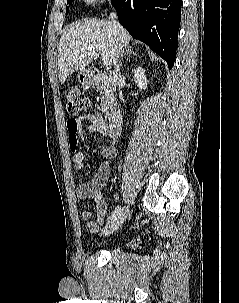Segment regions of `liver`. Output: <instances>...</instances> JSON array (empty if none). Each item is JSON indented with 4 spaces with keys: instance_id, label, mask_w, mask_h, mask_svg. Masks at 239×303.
<instances>
[{
    "instance_id": "liver-1",
    "label": "liver",
    "mask_w": 239,
    "mask_h": 303,
    "mask_svg": "<svg viewBox=\"0 0 239 303\" xmlns=\"http://www.w3.org/2000/svg\"><path fill=\"white\" fill-rule=\"evenodd\" d=\"M130 38L122 26L117 27L106 20L89 19L66 28L58 47L60 82L63 84L70 74L84 70L99 57L100 51L90 50L89 47L105 45L114 64L117 52L129 45Z\"/></svg>"
}]
</instances>
